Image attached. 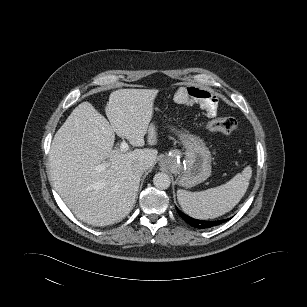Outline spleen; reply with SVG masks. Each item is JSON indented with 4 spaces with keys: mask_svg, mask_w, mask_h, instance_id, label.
Returning a JSON list of instances; mask_svg holds the SVG:
<instances>
[{
    "mask_svg": "<svg viewBox=\"0 0 307 307\" xmlns=\"http://www.w3.org/2000/svg\"><path fill=\"white\" fill-rule=\"evenodd\" d=\"M252 176L246 167L227 183L200 192L177 191L178 202L185 213L197 219L216 218L232 210L244 196Z\"/></svg>",
    "mask_w": 307,
    "mask_h": 307,
    "instance_id": "spleen-1",
    "label": "spleen"
}]
</instances>
